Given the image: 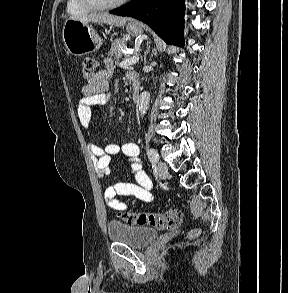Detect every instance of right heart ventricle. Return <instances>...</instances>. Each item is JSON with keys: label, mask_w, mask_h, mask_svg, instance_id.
Segmentation results:
<instances>
[{"label": "right heart ventricle", "mask_w": 288, "mask_h": 293, "mask_svg": "<svg viewBox=\"0 0 288 293\" xmlns=\"http://www.w3.org/2000/svg\"><path fill=\"white\" fill-rule=\"evenodd\" d=\"M66 9L71 15H84L92 10L84 6L79 0H67Z\"/></svg>", "instance_id": "1"}]
</instances>
